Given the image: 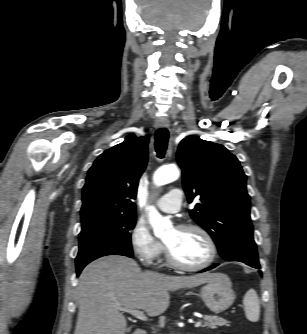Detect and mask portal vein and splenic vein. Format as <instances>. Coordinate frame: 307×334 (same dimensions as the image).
<instances>
[{"label": "portal vein and splenic vein", "instance_id": "obj_1", "mask_svg": "<svg viewBox=\"0 0 307 334\" xmlns=\"http://www.w3.org/2000/svg\"><path fill=\"white\" fill-rule=\"evenodd\" d=\"M121 311L130 313L131 315H133L134 317H136L137 319H140L142 321H147L148 317L144 314V312L140 311V310H136V309H127V308H119ZM202 325L201 321H198L195 323V327H200Z\"/></svg>", "mask_w": 307, "mask_h": 334}]
</instances>
